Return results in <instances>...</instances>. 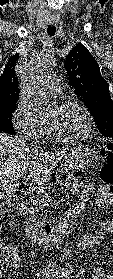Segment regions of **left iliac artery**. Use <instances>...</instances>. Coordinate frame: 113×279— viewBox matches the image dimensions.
Listing matches in <instances>:
<instances>
[{"label": "left iliac artery", "instance_id": "obj_1", "mask_svg": "<svg viewBox=\"0 0 113 279\" xmlns=\"http://www.w3.org/2000/svg\"><path fill=\"white\" fill-rule=\"evenodd\" d=\"M69 275V273L67 272L65 275H64V277H66L67 278V276Z\"/></svg>", "mask_w": 113, "mask_h": 279}]
</instances>
